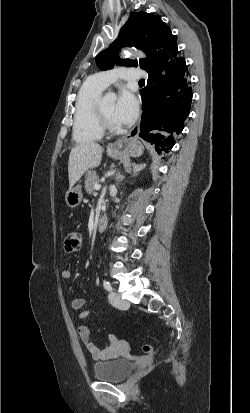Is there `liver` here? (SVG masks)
<instances>
[{"instance_id":"1","label":"liver","mask_w":250,"mask_h":413,"mask_svg":"<svg viewBox=\"0 0 250 413\" xmlns=\"http://www.w3.org/2000/svg\"><path fill=\"white\" fill-rule=\"evenodd\" d=\"M102 152V146L95 142L81 143L72 148L68 161L70 188L76 184L88 169L96 168L100 165Z\"/></svg>"}]
</instances>
